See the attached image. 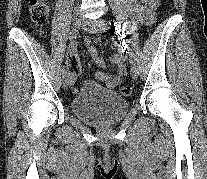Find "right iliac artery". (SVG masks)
Returning <instances> with one entry per match:
<instances>
[{
    "label": "right iliac artery",
    "mask_w": 207,
    "mask_h": 179,
    "mask_svg": "<svg viewBox=\"0 0 207 179\" xmlns=\"http://www.w3.org/2000/svg\"><path fill=\"white\" fill-rule=\"evenodd\" d=\"M78 33H79L78 28L77 29L73 28L72 31L69 34V40L72 41V40L76 39ZM66 73H67L66 70L63 68L62 69V74L65 75Z\"/></svg>",
    "instance_id": "obj_1"
}]
</instances>
